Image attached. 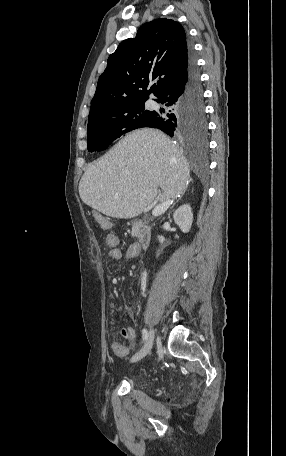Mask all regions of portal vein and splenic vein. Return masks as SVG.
Instances as JSON below:
<instances>
[{"label":"portal vein and splenic vein","instance_id":"obj_1","mask_svg":"<svg viewBox=\"0 0 286 456\" xmlns=\"http://www.w3.org/2000/svg\"><path fill=\"white\" fill-rule=\"evenodd\" d=\"M170 204H172V201L171 200H167V201L157 205L153 209L152 215L157 216V215L162 214L169 207Z\"/></svg>","mask_w":286,"mask_h":456}]
</instances>
